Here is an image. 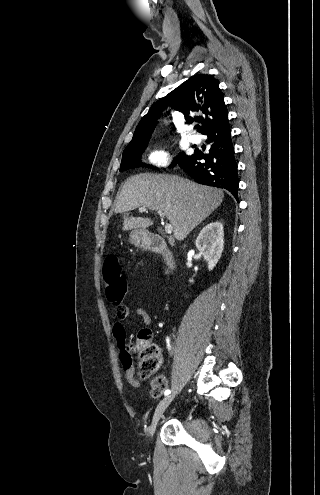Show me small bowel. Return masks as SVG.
<instances>
[{"instance_id":"1","label":"small bowel","mask_w":320,"mask_h":495,"mask_svg":"<svg viewBox=\"0 0 320 495\" xmlns=\"http://www.w3.org/2000/svg\"><path fill=\"white\" fill-rule=\"evenodd\" d=\"M132 314L139 316L146 325H149L152 321L150 315L144 308H136L133 310L128 306H124L122 310L120 311L116 310V315L118 320L115 321L113 324V333L122 351L121 355H122L123 365L125 367L126 379L132 387L139 388L141 384L134 377V367L132 365V360L129 363H126L124 361V358L127 357V354L124 352L125 329L122 323L120 322V320H123Z\"/></svg>"}]
</instances>
